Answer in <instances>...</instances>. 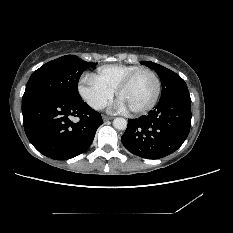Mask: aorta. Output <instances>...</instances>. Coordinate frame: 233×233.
<instances>
[{"mask_svg": "<svg viewBox=\"0 0 233 233\" xmlns=\"http://www.w3.org/2000/svg\"><path fill=\"white\" fill-rule=\"evenodd\" d=\"M113 126L118 130H125L127 128V120L121 117L115 118Z\"/></svg>", "mask_w": 233, "mask_h": 233, "instance_id": "obj_1", "label": "aorta"}]
</instances>
